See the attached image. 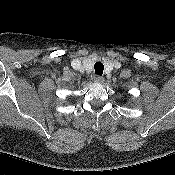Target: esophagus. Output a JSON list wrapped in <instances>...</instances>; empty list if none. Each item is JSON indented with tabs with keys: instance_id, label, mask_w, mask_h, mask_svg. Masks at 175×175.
<instances>
[{
	"instance_id": "obj_1",
	"label": "esophagus",
	"mask_w": 175,
	"mask_h": 175,
	"mask_svg": "<svg viewBox=\"0 0 175 175\" xmlns=\"http://www.w3.org/2000/svg\"><path fill=\"white\" fill-rule=\"evenodd\" d=\"M103 81H104V78L102 76L96 75L94 77V82L96 83H103Z\"/></svg>"
}]
</instances>
